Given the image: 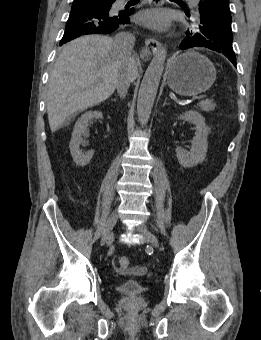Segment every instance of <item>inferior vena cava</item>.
Listing matches in <instances>:
<instances>
[{
	"label": "inferior vena cava",
	"instance_id": "1",
	"mask_svg": "<svg viewBox=\"0 0 261 340\" xmlns=\"http://www.w3.org/2000/svg\"><path fill=\"white\" fill-rule=\"evenodd\" d=\"M135 43V37L131 33H119L113 39V45L116 51L123 58H130ZM132 82L130 71H123L120 73L117 81V92L120 97L124 98Z\"/></svg>",
	"mask_w": 261,
	"mask_h": 340
}]
</instances>
